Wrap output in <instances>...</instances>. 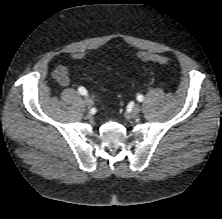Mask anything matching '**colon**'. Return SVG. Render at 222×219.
Instances as JSON below:
<instances>
[{"instance_id": "obj_1", "label": "colon", "mask_w": 222, "mask_h": 219, "mask_svg": "<svg viewBox=\"0 0 222 219\" xmlns=\"http://www.w3.org/2000/svg\"><path fill=\"white\" fill-rule=\"evenodd\" d=\"M139 58L143 62H150V63H157V64H167L170 61L169 57L165 55L150 53V52L141 53L139 55Z\"/></svg>"}]
</instances>
